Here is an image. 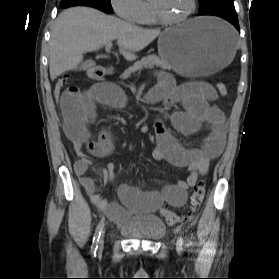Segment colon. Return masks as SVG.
Instances as JSON below:
<instances>
[{"label":"colon","mask_w":279,"mask_h":279,"mask_svg":"<svg viewBox=\"0 0 279 279\" xmlns=\"http://www.w3.org/2000/svg\"><path fill=\"white\" fill-rule=\"evenodd\" d=\"M67 78L61 77L57 80L54 88V95L57 100H60L64 90L66 89ZM214 90L219 95L227 94V87L224 83H216ZM205 196V185L199 182L193 189L189 202V210L185 215L178 214L170 209H163L162 215L169 224H177L190 218L194 212L200 207Z\"/></svg>","instance_id":"obj_1"}]
</instances>
